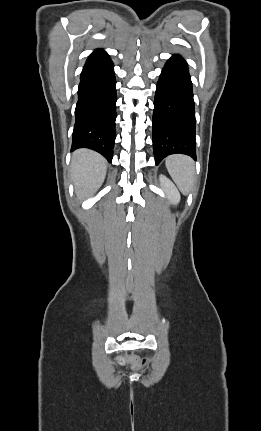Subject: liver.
Listing matches in <instances>:
<instances>
[{
  "instance_id": "liver-1",
  "label": "liver",
  "mask_w": 261,
  "mask_h": 431,
  "mask_svg": "<svg viewBox=\"0 0 261 431\" xmlns=\"http://www.w3.org/2000/svg\"><path fill=\"white\" fill-rule=\"evenodd\" d=\"M106 160L89 149H79L73 153L71 175L79 199L93 195L101 187L106 176Z\"/></svg>"
}]
</instances>
